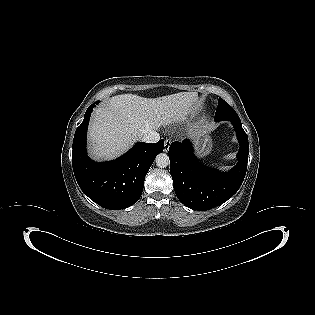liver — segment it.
<instances>
[{
    "label": "liver",
    "instance_id": "1",
    "mask_svg": "<svg viewBox=\"0 0 315 315\" xmlns=\"http://www.w3.org/2000/svg\"><path fill=\"white\" fill-rule=\"evenodd\" d=\"M197 103L196 92L158 98L121 94L110 98L92 115L88 129L94 159H112L151 131L185 121Z\"/></svg>",
    "mask_w": 315,
    "mask_h": 315
}]
</instances>
